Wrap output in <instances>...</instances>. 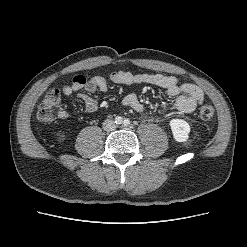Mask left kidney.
Instances as JSON below:
<instances>
[{
	"mask_svg": "<svg viewBox=\"0 0 247 247\" xmlns=\"http://www.w3.org/2000/svg\"><path fill=\"white\" fill-rule=\"evenodd\" d=\"M169 124L173 133V137L177 142H185L188 140L190 126L185 120L172 119Z\"/></svg>",
	"mask_w": 247,
	"mask_h": 247,
	"instance_id": "1",
	"label": "left kidney"
}]
</instances>
